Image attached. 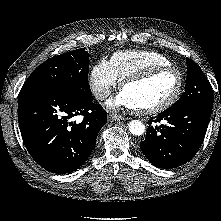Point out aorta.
<instances>
[{
    "instance_id": "1",
    "label": "aorta",
    "mask_w": 221,
    "mask_h": 221,
    "mask_svg": "<svg viewBox=\"0 0 221 221\" xmlns=\"http://www.w3.org/2000/svg\"><path fill=\"white\" fill-rule=\"evenodd\" d=\"M129 131L136 136H140L145 132V125L139 120H132L128 124Z\"/></svg>"
}]
</instances>
